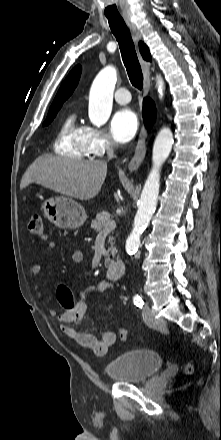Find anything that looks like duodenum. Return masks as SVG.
Listing matches in <instances>:
<instances>
[{"instance_id": "1", "label": "duodenum", "mask_w": 221, "mask_h": 440, "mask_svg": "<svg viewBox=\"0 0 221 440\" xmlns=\"http://www.w3.org/2000/svg\"><path fill=\"white\" fill-rule=\"evenodd\" d=\"M107 275L111 280H118L125 273V264L121 260H114L107 264Z\"/></svg>"}]
</instances>
